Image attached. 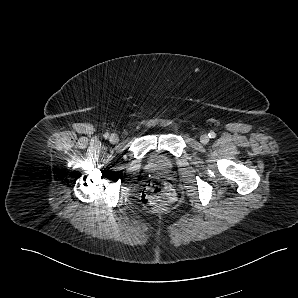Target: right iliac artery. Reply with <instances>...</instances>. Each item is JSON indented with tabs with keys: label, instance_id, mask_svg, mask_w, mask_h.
Masks as SVG:
<instances>
[{
	"label": "right iliac artery",
	"instance_id": "right-iliac-artery-1",
	"mask_svg": "<svg viewBox=\"0 0 298 298\" xmlns=\"http://www.w3.org/2000/svg\"><path fill=\"white\" fill-rule=\"evenodd\" d=\"M104 138H105V139L109 138V134H108V133H105V134H104Z\"/></svg>",
	"mask_w": 298,
	"mask_h": 298
}]
</instances>
